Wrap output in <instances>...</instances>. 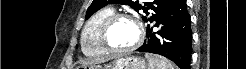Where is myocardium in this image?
I'll return each mask as SVG.
<instances>
[{"label": "myocardium", "instance_id": "myocardium-1", "mask_svg": "<svg viewBox=\"0 0 246 69\" xmlns=\"http://www.w3.org/2000/svg\"><path fill=\"white\" fill-rule=\"evenodd\" d=\"M122 19L130 20L135 24L137 28L138 36H137V40L131 46L124 48V49H118V48L113 47L110 44L108 36H109V32L112 26L117 21L122 20ZM144 37H145V33H144V28H143L141 21L137 17L129 13L112 14L111 16L105 19L100 29V39H101L102 45L109 53H112V54L120 55V54H125L127 52L137 49L143 43Z\"/></svg>", "mask_w": 246, "mask_h": 69}]
</instances>
